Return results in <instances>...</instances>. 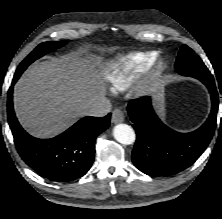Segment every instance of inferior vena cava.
<instances>
[{
  "label": "inferior vena cava",
  "mask_w": 222,
  "mask_h": 219,
  "mask_svg": "<svg viewBox=\"0 0 222 219\" xmlns=\"http://www.w3.org/2000/svg\"><path fill=\"white\" fill-rule=\"evenodd\" d=\"M111 103L109 100L104 99L88 109L87 115L102 117L111 112Z\"/></svg>",
  "instance_id": "inferior-vena-cava-1"
}]
</instances>
